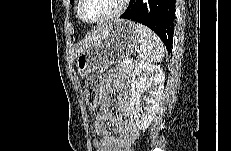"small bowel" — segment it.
<instances>
[{"instance_id":"c3829d8e","label":"small bowel","mask_w":231,"mask_h":151,"mask_svg":"<svg viewBox=\"0 0 231 151\" xmlns=\"http://www.w3.org/2000/svg\"><path fill=\"white\" fill-rule=\"evenodd\" d=\"M116 93V111L118 116L110 112L112 93ZM131 88L128 78L118 71L104 73L99 83V112L94 122V143L105 151H132L133 144L139 137V129L133 119L130 105ZM117 133L113 136L107 128Z\"/></svg>"}]
</instances>
